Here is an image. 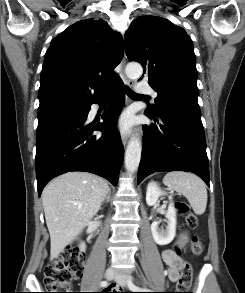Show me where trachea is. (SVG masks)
<instances>
[{
  "label": "trachea",
  "instance_id": "1",
  "mask_svg": "<svg viewBox=\"0 0 245 293\" xmlns=\"http://www.w3.org/2000/svg\"><path fill=\"white\" fill-rule=\"evenodd\" d=\"M125 92H126L127 96L130 97V98H135V97H147V96H145V95H140V94L135 93V92H134L131 88H129V87H126V88H125Z\"/></svg>",
  "mask_w": 245,
  "mask_h": 293
}]
</instances>
